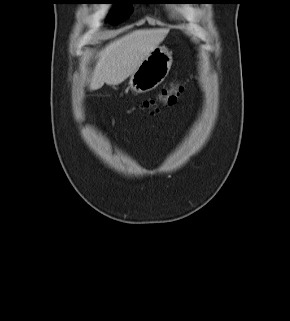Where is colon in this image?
Returning a JSON list of instances; mask_svg holds the SVG:
<instances>
[{"label":"colon","mask_w":290,"mask_h":321,"mask_svg":"<svg viewBox=\"0 0 290 321\" xmlns=\"http://www.w3.org/2000/svg\"><path fill=\"white\" fill-rule=\"evenodd\" d=\"M183 89L184 83L176 81L170 87L165 88L157 97L145 100L142 103V107L150 113H154L160 107L172 106L176 103Z\"/></svg>","instance_id":"5ec220e1"}]
</instances>
